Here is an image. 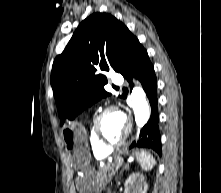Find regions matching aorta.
I'll return each mask as SVG.
<instances>
[{"mask_svg":"<svg viewBox=\"0 0 221 193\" xmlns=\"http://www.w3.org/2000/svg\"><path fill=\"white\" fill-rule=\"evenodd\" d=\"M135 122L138 127L144 126L150 118V108L146 94L141 87H135L131 93Z\"/></svg>","mask_w":221,"mask_h":193,"instance_id":"obj_1","label":"aorta"}]
</instances>
